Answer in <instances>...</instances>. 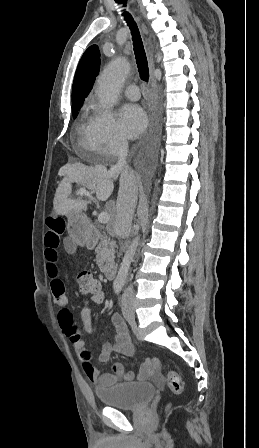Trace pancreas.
<instances>
[{"instance_id":"obj_1","label":"pancreas","mask_w":259,"mask_h":448,"mask_svg":"<svg viewBox=\"0 0 259 448\" xmlns=\"http://www.w3.org/2000/svg\"><path fill=\"white\" fill-rule=\"evenodd\" d=\"M104 236H102V240L100 244H98L95 252L97 254L96 256V262L98 268L100 270H103V264H109V262H114V254H115V242L109 238V236H106V232H103Z\"/></svg>"}]
</instances>
